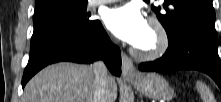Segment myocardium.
<instances>
[{
  "instance_id": "myocardium-1",
  "label": "myocardium",
  "mask_w": 221,
  "mask_h": 102,
  "mask_svg": "<svg viewBox=\"0 0 221 102\" xmlns=\"http://www.w3.org/2000/svg\"><path fill=\"white\" fill-rule=\"evenodd\" d=\"M148 25L156 35V44L153 48L144 50L137 46L133 48V54L141 60H154L161 57L169 47V36L164 25L156 18H150Z\"/></svg>"
}]
</instances>
